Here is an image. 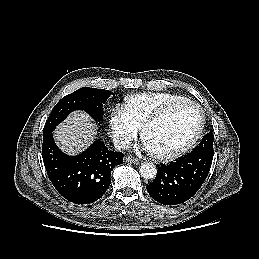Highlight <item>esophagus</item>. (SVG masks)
Returning <instances> with one entry per match:
<instances>
[{"mask_svg": "<svg viewBox=\"0 0 259 259\" xmlns=\"http://www.w3.org/2000/svg\"><path fill=\"white\" fill-rule=\"evenodd\" d=\"M124 160H125L126 162H129V163H132V164H139V163H140V161H139L138 159L133 158V157H131V156H126V157L124 158Z\"/></svg>", "mask_w": 259, "mask_h": 259, "instance_id": "obj_1", "label": "esophagus"}]
</instances>
